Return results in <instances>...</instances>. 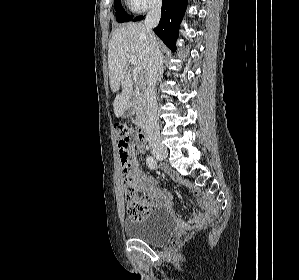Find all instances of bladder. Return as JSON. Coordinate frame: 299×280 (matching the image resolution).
Segmentation results:
<instances>
[{
    "label": "bladder",
    "instance_id": "obj_1",
    "mask_svg": "<svg viewBox=\"0 0 299 280\" xmlns=\"http://www.w3.org/2000/svg\"><path fill=\"white\" fill-rule=\"evenodd\" d=\"M175 225V219L168 211L156 210L139 220H126L124 231L132 239L159 245L172 237Z\"/></svg>",
    "mask_w": 299,
    "mask_h": 280
}]
</instances>
